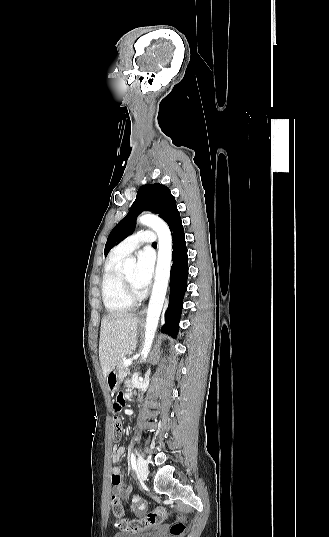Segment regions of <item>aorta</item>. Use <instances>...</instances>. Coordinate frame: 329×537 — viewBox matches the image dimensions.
<instances>
[{
  "label": "aorta",
  "instance_id": "aorta-1",
  "mask_svg": "<svg viewBox=\"0 0 329 537\" xmlns=\"http://www.w3.org/2000/svg\"><path fill=\"white\" fill-rule=\"evenodd\" d=\"M138 221L143 225L151 227L158 236V260L155 282L148 305L145 341L141 352L142 359L145 360L152 346L169 283L172 237L167 224L157 216L144 214L139 217ZM135 262V258H127L123 265L124 270L133 269Z\"/></svg>",
  "mask_w": 329,
  "mask_h": 537
}]
</instances>
